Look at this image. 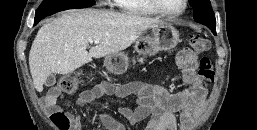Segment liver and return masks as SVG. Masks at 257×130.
<instances>
[{"label": "liver", "instance_id": "liver-1", "mask_svg": "<svg viewBox=\"0 0 257 130\" xmlns=\"http://www.w3.org/2000/svg\"><path fill=\"white\" fill-rule=\"evenodd\" d=\"M159 18L120 14L104 10H69L44 24L29 53V68L38 92L53 73L66 75L93 58L121 52L148 28L162 23ZM98 41L89 52V43Z\"/></svg>", "mask_w": 257, "mask_h": 130}]
</instances>
